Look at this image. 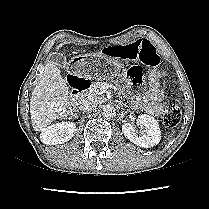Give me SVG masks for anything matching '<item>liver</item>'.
Segmentation results:
<instances>
[{
	"label": "liver",
	"mask_w": 209,
	"mask_h": 209,
	"mask_svg": "<svg viewBox=\"0 0 209 209\" xmlns=\"http://www.w3.org/2000/svg\"><path fill=\"white\" fill-rule=\"evenodd\" d=\"M68 43H61L56 49ZM68 89L60 69L55 62L49 60L33 89L30 100L31 123L35 131H42L54 120L64 118L72 111Z\"/></svg>",
	"instance_id": "6515ba94"
}]
</instances>
